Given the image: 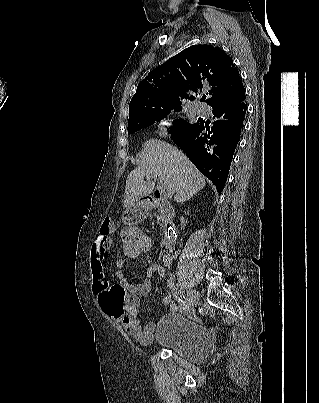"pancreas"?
<instances>
[{
    "mask_svg": "<svg viewBox=\"0 0 319 403\" xmlns=\"http://www.w3.org/2000/svg\"><path fill=\"white\" fill-rule=\"evenodd\" d=\"M158 222L160 223V225L162 226L161 222H160V217H158Z\"/></svg>",
    "mask_w": 319,
    "mask_h": 403,
    "instance_id": "cf45deb5",
    "label": "pancreas"
}]
</instances>
